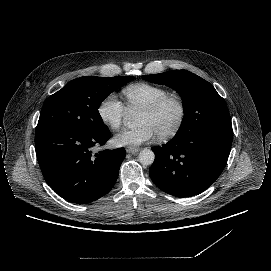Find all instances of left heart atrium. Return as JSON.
Masks as SVG:
<instances>
[{"label": "left heart atrium", "mask_w": 271, "mask_h": 271, "mask_svg": "<svg viewBox=\"0 0 271 271\" xmlns=\"http://www.w3.org/2000/svg\"><path fill=\"white\" fill-rule=\"evenodd\" d=\"M155 133L148 125H140L135 130H125L114 137V144L118 147L135 149L154 139Z\"/></svg>", "instance_id": "left-heart-atrium-1"}]
</instances>
